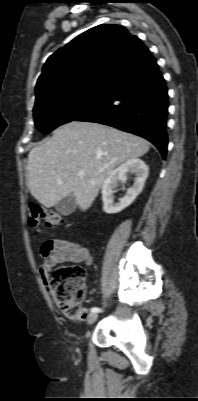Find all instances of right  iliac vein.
<instances>
[{
  "label": "right iliac vein",
  "mask_w": 198,
  "mask_h": 401,
  "mask_svg": "<svg viewBox=\"0 0 198 401\" xmlns=\"http://www.w3.org/2000/svg\"><path fill=\"white\" fill-rule=\"evenodd\" d=\"M97 318H98V315L96 313H91L88 316V321H87L88 324L90 325V324L94 323L97 320Z\"/></svg>",
  "instance_id": "right-iliac-vein-1"
}]
</instances>
